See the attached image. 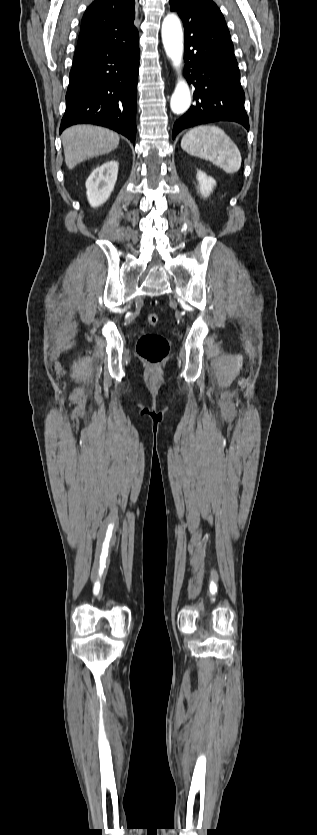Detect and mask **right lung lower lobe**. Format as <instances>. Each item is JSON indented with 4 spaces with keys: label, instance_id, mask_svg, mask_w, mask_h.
<instances>
[{
    "label": "right lung lower lobe",
    "instance_id": "1",
    "mask_svg": "<svg viewBox=\"0 0 317 835\" xmlns=\"http://www.w3.org/2000/svg\"><path fill=\"white\" fill-rule=\"evenodd\" d=\"M139 54L138 37L111 48H77L60 134L72 125L95 124L135 142Z\"/></svg>",
    "mask_w": 317,
    "mask_h": 835
}]
</instances>
